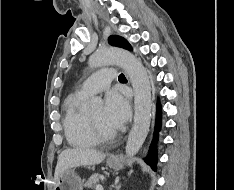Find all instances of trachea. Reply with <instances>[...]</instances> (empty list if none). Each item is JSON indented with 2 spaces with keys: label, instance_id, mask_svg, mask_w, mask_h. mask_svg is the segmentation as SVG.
Instances as JSON below:
<instances>
[{
  "label": "trachea",
  "instance_id": "3493384b",
  "mask_svg": "<svg viewBox=\"0 0 234 190\" xmlns=\"http://www.w3.org/2000/svg\"><path fill=\"white\" fill-rule=\"evenodd\" d=\"M119 80H124L126 79L125 76L123 74H120L119 77H118Z\"/></svg>",
  "mask_w": 234,
  "mask_h": 190
}]
</instances>
